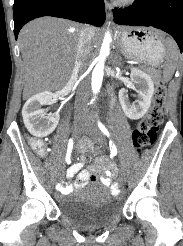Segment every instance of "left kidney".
<instances>
[{"instance_id": "1", "label": "left kidney", "mask_w": 183, "mask_h": 246, "mask_svg": "<svg viewBox=\"0 0 183 246\" xmlns=\"http://www.w3.org/2000/svg\"><path fill=\"white\" fill-rule=\"evenodd\" d=\"M130 78L131 83L129 87L134 89L135 85L137 87L136 104L130 102L128 91L125 88L119 91L118 96L125 115L132 120H138L146 114L151 105L154 83L150 75L138 68H131Z\"/></svg>"}]
</instances>
